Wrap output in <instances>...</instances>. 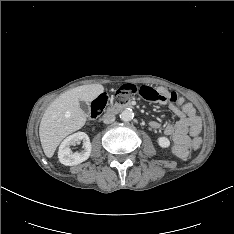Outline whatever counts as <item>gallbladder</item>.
Segmentation results:
<instances>
[{"mask_svg": "<svg viewBox=\"0 0 234 234\" xmlns=\"http://www.w3.org/2000/svg\"><path fill=\"white\" fill-rule=\"evenodd\" d=\"M80 107L84 112H89V106L86 102H80Z\"/></svg>", "mask_w": 234, "mask_h": 234, "instance_id": "bac80fb5", "label": "gallbladder"}]
</instances>
